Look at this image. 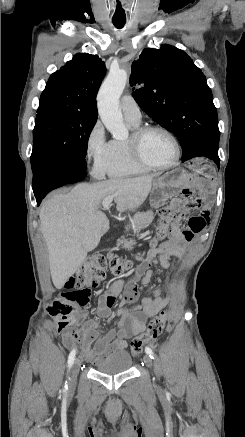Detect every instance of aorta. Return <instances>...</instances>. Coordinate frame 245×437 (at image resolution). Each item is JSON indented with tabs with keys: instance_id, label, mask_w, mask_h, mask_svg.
Segmentation results:
<instances>
[{
	"instance_id": "1",
	"label": "aorta",
	"mask_w": 245,
	"mask_h": 437,
	"mask_svg": "<svg viewBox=\"0 0 245 437\" xmlns=\"http://www.w3.org/2000/svg\"><path fill=\"white\" fill-rule=\"evenodd\" d=\"M127 79L128 76L124 70L112 68L98 92L97 104L100 118L115 139H123L128 135L119 109V98Z\"/></svg>"
}]
</instances>
